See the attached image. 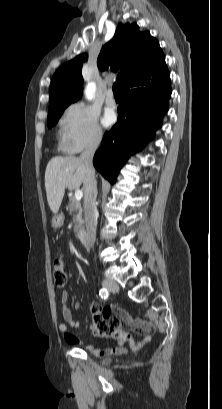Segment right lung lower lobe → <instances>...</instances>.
I'll use <instances>...</instances> for the list:
<instances>
[{
	"instance_id": "obj_1",
	"label": "right lung lower lobe",
	"mask_w": 222,
	"mask_h": 409,
	"mask_svg": "<svg viewBox=\"0 0 222 409\" xmlns=\"http://www.w3.org/2000/svg\"><path fill=\"white\" fill-rule=\"evenodd\" d=\"M168 68L162 72L136 79L121 93L118 121L106 132L102 146L95 153V168L116 182L120 166L140 150L161 127L171 96Z\"/></svg>"
}]
</instances>
